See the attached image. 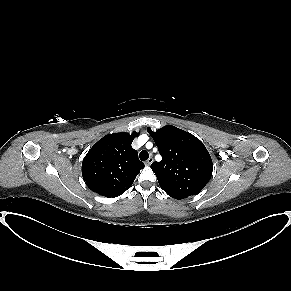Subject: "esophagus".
<instances>
[{"instance_id": "esophagus-1", "label": "esophagus", "mask_w": 291, "mask_h": 291, "mask_svg": "<svg viewBox=\"0 0 291 291\" xmlns=\"http://www.w3.org/2000/svg\"><path fill=\"white\" fill-rule=\"evenodd\" d=\"M152 162H153V158L150 157V158L145 162V165L150 166V165L152 164Z\"/></svg>"}]
</instances>
